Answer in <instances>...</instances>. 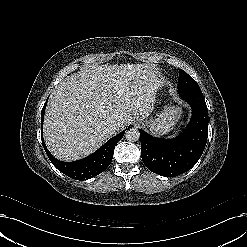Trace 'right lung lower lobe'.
<instances>
[{
	"instance_id": "98d812e1",
	"label": "right lung lower lobe",
	"mask_w": 247,
	"mask_h": 247,
	"mask_svg": "<svg viewBox=\"0 0 247 247\" xmlns=\"http://www.w3.org/2000/svg\"><path fill=\"white\" fill-rule=\"evenodd\" d=\"M46 104L47 101L41 112V130L43 128V119ZM124 133L125 130L109 139L104 145H102L97 151H95L88 157L74 162H63L55 159L47 150L43 140V135H41V137L44 149L50 161L60 172L73 179L85 180L102 173L110 165L113 158L114 148L118 141L122 139Z\"/></svg>"
}]
</instances>
